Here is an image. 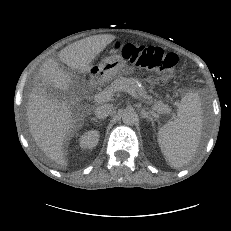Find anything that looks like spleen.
I'll return each instance as SVG.
<instances>
[{"label":"spleen","instance_id":"obj_1","mask_svg":"<svg viewBox=\"0 0 231 231\" xmlns=\"http://www.w3.org/2000/svg\"><path fill=\"white\" fill-rule=\"evenodd\" d=\"M202 126L199 96L188 92L182 97L174 120L158 131L159 146L171 167L181 168L193 159L201 140Z\"/></svg>","mask_w":231,"mask_h":231}]
</instances>
